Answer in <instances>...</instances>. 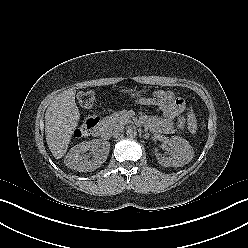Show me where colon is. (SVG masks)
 <instances>
[{"mask_svg":"<svg viewBox=\"0 0 248 248\" xmlns=\"http://www.w3.org/2000/svg\"><path fill=\"white\" fill-rule=\"evenodd\" d=\"M161 101V97H155L154 99L155 104H158ZM78 102L83 109L90 112L85 121L75 130L76 137H84L87 136L99 122V118L92 113L96 102V96L93 92L90 91L82 92L78 95ZM187 122L190 132L194 133L197 129V123L196 118L191 110H188L187 112Z\"/></svg>","mask_w":248,"mask_h":248,"instance_id":"obj_1","label":"colon"}]
</instances>
